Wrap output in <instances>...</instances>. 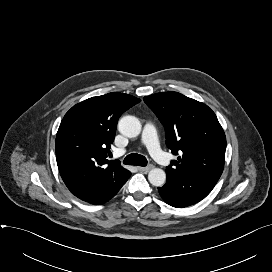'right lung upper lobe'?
<instances>
[{"label":"right lung upper lobe","mask_w":272,"mask_h":272,"mask_svg":"<svg viewBox=\"0 0 272 272\" xmlns=\"http://www.w3.org/2000/svg\"><path fill=\"white\" fill-rule=\"evenodd\" d=\"M140 99L119 92L92 97L73 106L59 126L56 160L73 195L96 203L131 175L119 161H108L119 117Z\"/></svg>","instance_id":"1"}]
</instances>
